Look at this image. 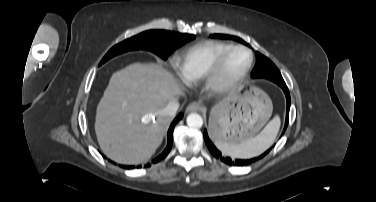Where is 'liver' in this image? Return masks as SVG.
Returning a JSON list of instances; mask_svg holds the SVG:
<instances>
[{
    "instance_id": "6515ba94",
    "label": "liver",
    "mask_w": 376,
    "mask_h": 202,
    "mask_svg": "<svg viewBox=\"0 0 376 202\" xmlns=\"http://www.w3.org/2000/svg\"><path fill=\"white\" fill-rule=\"evenodd\" d=\"M180 94L176 79L160 61L130 64L113 73L96 113L95 132L103 153L120 164L149 160L172 120L162 111Z\"/></svg>"
}]
</instances>
